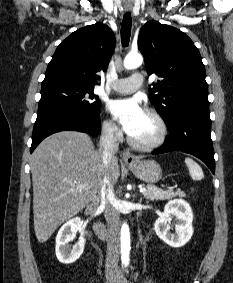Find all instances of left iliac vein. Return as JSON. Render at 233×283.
Returning a JSON list of instances; mask_svg holds the SVG:
<instances>
[{
    "instance_id": "1",
    "label": "left iliac vein",
    "mask_w": 233,
    "mask_h": 283,
    "mask_svg": "<svg viewBox=\"0 0 233 283\" xmlns=\"http://www.w3.org/2000/svg\"><path fill=\"white\" fill-rule=\"evenodd\" d=\"M116 283H127V280L123 275L119 274L117 275Z\"/></svg>"
}]
</instances>
